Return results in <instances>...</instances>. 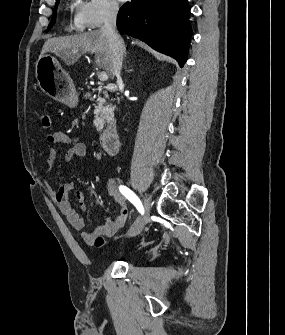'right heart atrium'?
Returning <instances> with one entry per match:
<instances>
[{
    "label": "right heart atrium",
    "mask_w": 285,
    "mask_h": 335,
    "mask_svg": "<svg viewBox=\"0 0 285 335\" xmlns=\"http://www.w3.org/2000/svg\"><path fill=\"white\" fill-rule=\"evenodd\" d=\"M121 10L118 1H87L80 11V19L90 30L114 21Z\"/></svg>",
    "instance_id": "right-heart-atrium-1"
}]
</instances>
